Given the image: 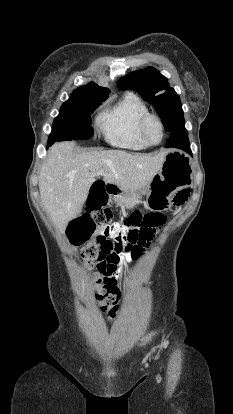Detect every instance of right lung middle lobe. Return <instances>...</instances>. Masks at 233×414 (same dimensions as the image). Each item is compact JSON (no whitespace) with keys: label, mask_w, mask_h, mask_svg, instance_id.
Instances as JSON below:
<instances>
[{"label":"right lung middle lobe","mask_w":233,"mask_h":414,"mask_svg":"<svg viewBox=\"0 0 233 414\" xmlns=\"http://www.w3.org/2000/svg\"><path fill=\"white\" fill-rule=\"evenodd\" d=\"M102 102L73 92L53 122L51 137L54 141L90 138L94 133L91 114Z\"/></svg>","instance_id":"right-lung-middle-lobe-1"}]
</instances>
